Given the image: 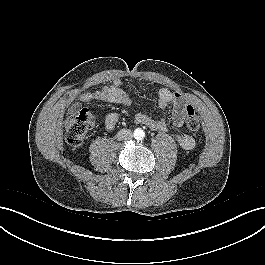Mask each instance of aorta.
Returning <instances> with one entry per match:
<instances>
[{
  "instance_id": "1",
  "label": "aorta",
  "mask_w": 265,
  "mask_h": 265,
  "mask_svg": "<svg viewBox=\"0 0 265 265\" xmlns=\"http://www.w3.org/2000/svg\"><path fill=\"white\" fill-rule=\"evenodd\" d=\"M144 136H145V133H144V131L142 129H139L138 128V129H136L134 131V137H135V139L142 140L144 138Z\"/></svg>"
}]
</instances>
